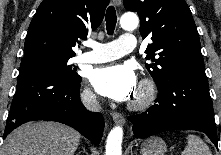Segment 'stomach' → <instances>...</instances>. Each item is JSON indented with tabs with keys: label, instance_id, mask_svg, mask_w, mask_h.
Wrapping results in <instances>:
<instances>
[{
	"label": "stomach",
	"instance_id": "obj_1",
	"mask_svg": "<svg viewBox=\"0 0 221 155\" xmlns=\"http://www.w3.org/2000/svg\"><path fill=\"white\" fill-rule=\"evenodd\" d=\"M167 146L159 137H151L141 145L142 155H165Z\"/></svg>",
	"mask_w": 221,
	"mask_h": 155
}]
</instances>
